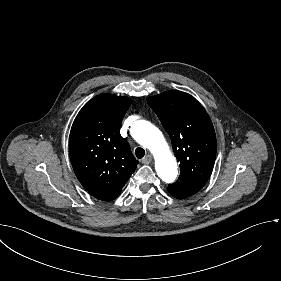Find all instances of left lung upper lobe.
<instances>
[{"mask_svg": "<svg viewBox=\"0 0 281 281\" xmlns=\"http://www.w3.org/2000/svg\"><path fill=\"white\" fill-rule=\"evenodd\" d=\"M147 102L168 132L180 162L179 179L168 191L183 197L197 193L212 172L217 149L207 112L194 97L180 91H167Z\"/></svg>", "mask_w": 281, "mask_h": 281, "instance_id": "left-lung-upper-lobe-1", "label": "left lung upper lobe"}]
</instances>
